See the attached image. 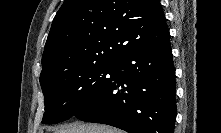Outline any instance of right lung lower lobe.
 I'll use <instances>...</instances> for the list:
<instances>
[{
    "label": "right lung lower lobe",
    "mask_w": 221,
    "mask_h": 133,
    "mask_svg": "<svg viewBox=\"0 0 221 133\" xmlns=\"http://www.w3.org/2000/svg\"><path fill=\"white\" fill-rule=\"evenodd\" d=\"M175 69L169 38L113 62L102 86L74 116L129 133H173Z\"/></svg>",
    "instance_id": "1"
}]
</instances>
